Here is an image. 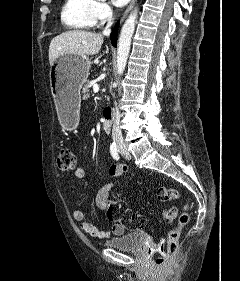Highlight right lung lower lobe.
<instances>
[{"instance_id": "right-lung-lower-lobe-1", "label": "right lung lower lobe", "mask_w": 240, "mask_h": 281, "mask_svg": "<svg viewBox=\"0 0 240 281\" xmlns=\"http://www.w3.org/2000/svg\"><path fill=\"white\" fill-rule=\"evenodd\" d=\"M119 24L117 23L115 26V29L111 33V43L114 47H116V41H117V28Z\"/></svg>"}]
</instances>
